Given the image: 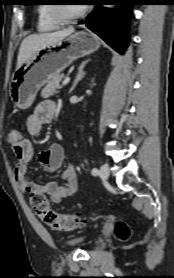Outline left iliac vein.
Here are the masks:
<instances>
[{"instance_id": "left-iliac-vein-1", "label": "left iliac vein", "mask_w": 174, "mask_h": 278, "mask_svg": "<svg viewBox=\"0 0 174 278\" xmlns=\"http://www.w3.org/2000/svg\"><path fill=\"white\" fill-rule=\"evenodd\" d=\"M99 176L103 180H105L109 177V167H108V165L104 164L100 167Z\"/></svg>"}]
</instances>
